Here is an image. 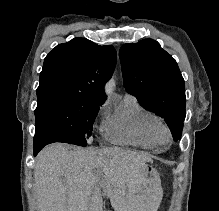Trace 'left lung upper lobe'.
Wrapping results in <instances>:
<instances>
[{"instance_id": "5c2ea615", "label": "left lung upper lobe", "mask_w": 219, "mask_h": 211, "mask_svg": "<svg viewBox=\"0 0 219 211\" xmlns=\"http://www.w3.org/2000/svg\"><path fill=\"white\" fill-rule=\"evenodd\" d=\"M126 91L145 109L164 118L175 141L185 120V82L175 59L152 39L119 50Z\"/></svg>"}]
</instances>
